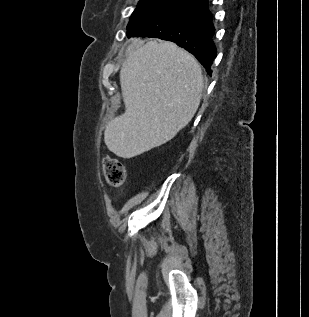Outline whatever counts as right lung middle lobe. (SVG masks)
<instances>
[{
    "label": "right lung middle lobe",
    "mask_w": 309,
    "mask_h": 317,
    "mask_svg": "<svg viewBox=\"0 0 309 317\" xmlns=\"http://www.w3.org/2000/svg\"><path fill=\"white\" fill-rule=\"evenodd\" d=\"M177 0H140L137 8L130 17V22L127 29H130L139 19L148 15L149 13L165 7Z\"/></svg>",
    "instance_id": "dd1d6c3e"
}]
</instances>
